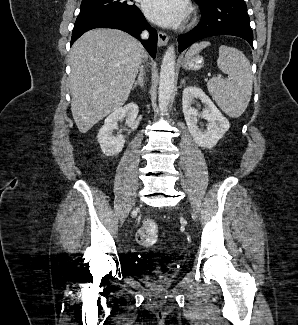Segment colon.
Returning <instances> with one entry per match:
<instances>
[{
    "instance_id": "colon-1",
    "label": "colon",
    "mask_w": 298,
    "mask_h": 325,
    "mask_svg": "<svg viewBox=\"0 0 298 325\" xmlns=\"http://www.w3.org/2000/svg\"><path fill=\"white\" fill-rule=\"evenodd\" d=\"M158 237V227L152 220H146L136 234V240L140 245L151 246Z\"/></svg>"
}]
</instances>
